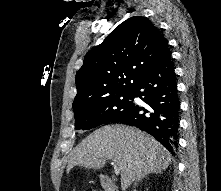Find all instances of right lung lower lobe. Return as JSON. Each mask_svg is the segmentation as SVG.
I'll return each instance as SVG.
<instances>
[{"label":"right lung lower lobe","mask_w":221,"mask_h":191,"mask_svg":"<svg viewBox=\"0 0 221 191\" xmlns=\"http://www.w3.org/2000/svg\"><path fill=\"white\" fill-rule=\"evenodd\" d=\"M135 97H139L145 105L132 103L129 112L119 123L146 131L175 155L180 101L171 52L137 83L133 89Z\"/></svg>","instance_id":"obj_1"}]
</instances>
